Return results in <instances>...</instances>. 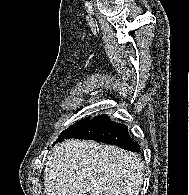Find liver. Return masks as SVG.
Masks as SVG:
<instances>
[{
    "instance_id": "obj_1",
    "label": "liver",
    "mask_w": 189,
    "mask_h": 195,
    "mask_svg": "<svg viewBox=\"0 0 189 195\" xmlns=\"http://www.w3.org/2000/svg\"><path fill=\"white\" fill-rule=\"evenodd\" d=\"M141 158L113 145L69 139L56 146L45 168L47 195H138Z\"/></svg>"
}]
</instances>
